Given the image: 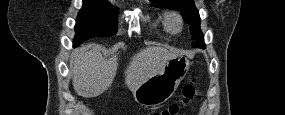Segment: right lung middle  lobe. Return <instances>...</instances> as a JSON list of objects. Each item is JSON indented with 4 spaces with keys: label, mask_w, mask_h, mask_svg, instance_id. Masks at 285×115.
<instances>
[{
    "label": "right lung middle lobe",
    "mask_w": 285,
    "mask_h": 115,
    "mask_svg": "<svg viewBox=\"0 0 285 115\" xmlns=\"http://www.w3.org/2000/svg\"><path fill=\"white\" fill-rule=\"evenodd\" d=\"M116 9L106 0H83L76 19L74 46L97 36H112L117 30Z\"/></svg>",
    "instance_id": "dd1d6c3e"
}]
</instances>
